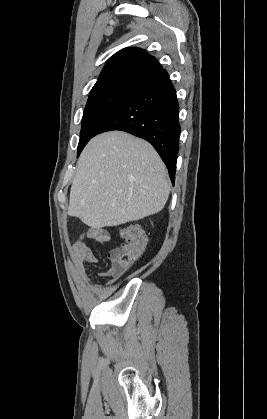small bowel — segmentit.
<instances>
[{
  "label": "small bowel",
  "mask_w": 267,
  "mask_h": 419,
  "mask_svg": "<svg viewBox=\"0 0 267 419\" xmlns=\"http://www.w3.org/2000/svg\"><path fill=\"white\" fill-rule=\"evenodd\" d=\"M84 237L90 238L98 243H103L109 239V234L106 229L91 228L87 230L85 234L81 235V237L75 242H73L71 245L72 257L77 274L88 285H90L92 289L101 290L103 288V285L93 284L87 273V265L96 263L97 258L94 255L92 249L84 243ZM99 276L109 278V281L106 285H111L116 280L118 274L112 272L111 269H109L105 272L99 273Z\"/></svg>",
  "instance_id": "obj_1"
}]
</instances>
